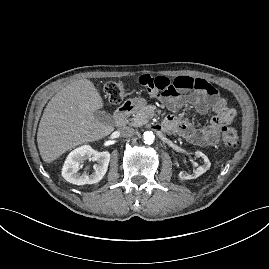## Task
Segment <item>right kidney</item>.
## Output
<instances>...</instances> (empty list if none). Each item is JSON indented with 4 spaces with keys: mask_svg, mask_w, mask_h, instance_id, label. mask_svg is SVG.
Masks as SVG:
<instances>
[{
    "mask_svg": "<svg viewBox=\"0 0 269 269\" xmlns=\"http://www.w3.org/2000/svg\"><path fill=\"white\" fill-rule=\"evenodd\" d=\"M90 159L97 161L94 172L90 175L79 173L80 164ZM110 161V153L108 151L98 152L89 145H83L74 149L64 163L62 176L64 179L75 185L94 184L99 182L107 172Z\"/></svg>",
    "mask_w": 269,
    "mask_h": 269,
    "instance_id": "obj_1",
    "label": "right kidney"
}]
</instances>
